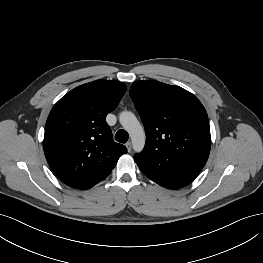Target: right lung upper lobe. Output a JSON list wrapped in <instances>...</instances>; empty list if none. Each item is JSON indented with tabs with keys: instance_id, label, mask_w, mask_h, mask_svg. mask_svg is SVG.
<instances>
[{
	"instance_id": "cb5924a9",
	"label": "right lung upper lobe",
	"mask_w": 263,
	"mask_h": 263,
	"mask_svg": "<svg viewBox=\"0 0 263 263\" xmlns=\"http://www.w3.org/2000/svg\"><path fill=\"white\" fill-rule=\"evenodd\" d=\"M126 91V85L96 80L68 92L52 108L43 140L45 157L68 186L88 189L105 179L125 146L114 142L106 116Z\"/></svg>"
}]
</instances>
